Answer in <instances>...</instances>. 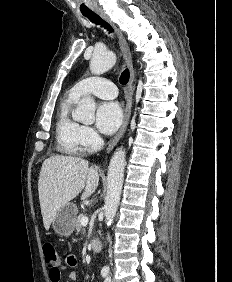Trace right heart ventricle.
Here are the masks:
<instances>
[{
  "instance_id": "e07e8e85",
  "label": "right heart ventricle",
  "mask_w": 232,
  "mask_h": 282,
  "mask_svg": "<svg viewBox=\"0 0 232 282\" xmlns=\"http://www.w3.org/2000/svg\"><path fill=\"white\" fill-rule=\"evenodd\" d=\"M78 99L68 94L59 104L55 139L58 152L66 155H75L81 151V125L72 118L71 110Z\"/></svg>"
}]
</instances>
